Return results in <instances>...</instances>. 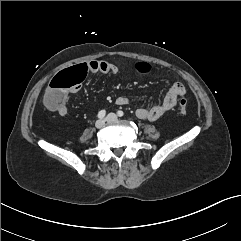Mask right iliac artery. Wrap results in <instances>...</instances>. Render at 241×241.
<instances>
[{
    "instance_id": "82829eb1",
    "label": "right iliac artery",
    "mask_w": 241,
    "mask_h": 241,
    "mask_svg": "<svg viewBox=\"0 0 241 241\" xmlns=\"http://www.w3.org/2000/svg\"><path fill=\"white\" fill-rule=\"evenodd\" d=\"M105 115H106V111H105V110H101V111H99V113H98V118L102 119V118L105 117Z\"/></svg>"
}]
</instances>
